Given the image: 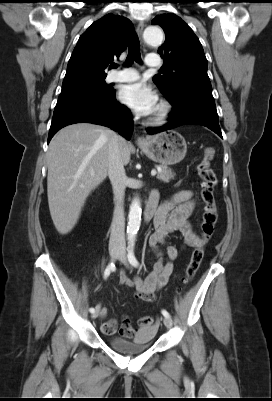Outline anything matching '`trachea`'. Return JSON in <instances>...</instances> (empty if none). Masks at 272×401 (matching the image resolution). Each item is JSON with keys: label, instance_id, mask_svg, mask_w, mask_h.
Returning a JSON list of instances; mask_svg holds the SVG:
<instances>
[{"label": "trachea", "instance_id": "trachea-1", "mask_svg": "<svg viewBox=\"0 0 272 401\" xmlns=\"http://www.w3.org/2000/svg\"><path fill=\"white\" fill-rule=\"evenodd\" d=\"M134 61L141 63L140 42L138 36L135 33L132 34L129 39V51L125 61V66L127 67L131 66ZM111 67L116 68L117 65L112 64Z\"/></svg>", "mask_w": 272, "mask_h": 401}]
</instances>
